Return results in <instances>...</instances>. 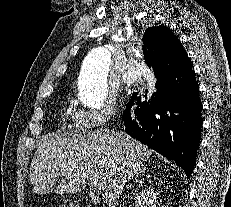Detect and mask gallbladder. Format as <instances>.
<instances>
[{"label": "gallbladder", "mask_w": 231, "mask_h": 207, "mask_svg": "<svg viewBox=\"0 0 231 207\" xmlns=\"http://www.w3.org/2000/svg\"><path fill=\"white\" fill-rule=\"evenodd\" d=\"M90 201L93 202V203H97L98 202V199L97 198H94L93 196H90Z\"/></svg>", "instance_id": "obj_1"}]
</instances>
